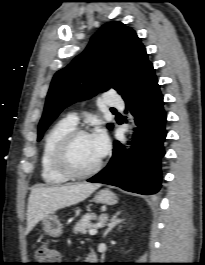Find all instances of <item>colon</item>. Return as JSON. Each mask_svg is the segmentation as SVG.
Masks as SVG:
<instances>
[{
    "instance_id": "obj_1",
    "label": "colon",
    "mask_w": 205,
    "mask_h": 265,
    "mask_svg": "<svg viewBox=\"0 0 205 265\" xmlns=\"http://www.w3.org/2000/svg\"><path fill=\"white\" fill-rule=\"evenodd\" d=\"M35 255L39 265H57L60 258L59 252L47 245L39 246Z\"/></svg>"
}]
</instances>
